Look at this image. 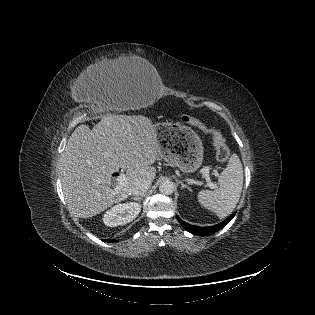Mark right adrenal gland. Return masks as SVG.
<instances>
[{
  "label": "right adrenal gland",
  "instance_id": "right-adrenal-gland-1",
  "mask_svg": "<svg viewBox=\"0 0 315 315\" xmlns=\"http://www.w3.org/2000/svg\"><path fill=\"white\" fill-rule=\"evenodd\" d=\"M143 198V196H140V197H133L132 199L134 200V201H141V199Z\"/></svg>",
  "mask_w": 315,
  "mask_h": 315
}]
</instances>
